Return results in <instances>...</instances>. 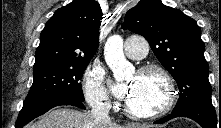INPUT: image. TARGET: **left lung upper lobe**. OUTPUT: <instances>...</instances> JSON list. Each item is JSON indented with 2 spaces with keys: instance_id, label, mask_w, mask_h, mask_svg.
Segmentation results:
<instances>
[{
  "instance_id": "1",
  "label": "left lung upper lobe",
  "mask_w": 221,
  "mask_h": 128,
  "mask_svg": "<svg viewBox=\"0 0 221 128\" xmlns=\"http://www.w3.org/2000/svg\"><path fill=\"white\" fill-rule=\"evenodd\" d=\"M122 27L145 37L176 80L180 97L172 112L195 104L213 106L205 45L195 20L161 0H140L126 13Z\"/></svg>"
}]
</instances>
